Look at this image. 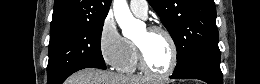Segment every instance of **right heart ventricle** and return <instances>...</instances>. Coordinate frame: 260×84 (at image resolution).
<instances>
[{
	"label": "right heart ventricle",
	"instance_id": "obj_1",
	"mask_svg": "<svg viewBox=\"0 0 260 84\" xmlns=\"http://www.w3.org/2000/svg\"><path fill=\"white\" fill-rule=\"evenodd\" d=\"M116 68L119 72L122 73H134L140 70L134 42L125 39V54Z\"/></svg>",
	"mask_w": 260,
	"mask_h": 84
}]
</instances>
